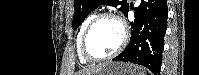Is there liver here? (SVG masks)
I'll use <instances>...</instances> for the list:
<instances>
[{
	"label": "liver",
	"instance_id": "6515ba94",
	"mask_svg": "<svg viewBox=\"0 0 199 75\" xmlns=\"http://www.w3.org/2000/svg\"><path fill=\"white\" fill-rule=\"evenodd\" d=\"M101 67L91 68L87 70L80 71L78 75H94Z\"/></svg>",
	"mask_w": 199,
	"mask_h": 75
}]
</instances>
